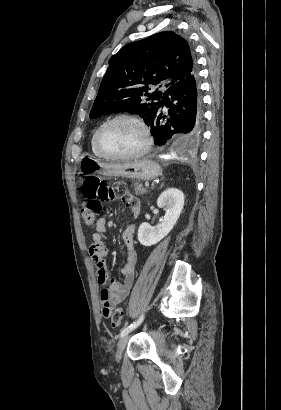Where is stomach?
<instances>
[{"mask_svg":"<svg viewBox=\"0 0 281 410\" xmlns=\"http://www.w3.org/2000/svg\"><path fill=\"white\" fill-rule=\"evenodd\" d=\"M81 174L97 173L105 176L150 180L161 175V167L149 159L124 163H102L92 156H82L79 162Z\"/></svg>","mask_w":281,"mask_h":410,"instance_id":"obj_1","label":"stomach"}]
</instances>
